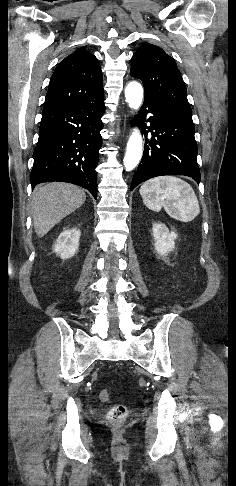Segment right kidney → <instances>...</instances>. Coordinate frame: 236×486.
<instances>
[{
    "label": "right kidney",
    "instance_id": "ca27d5eb",
    "mask_svg": "<svg viewBox=\"0 0 236 486\" xmlns=\"http://www.w3.org/2000/svg\"><path fill=\"white\" fill-rule=\"evenodd\" d=\"M81 232L79 229H66L56 240L53 251L61 257V259H69L73 257L79 247V239Z\"/></svg>",
    "mask_w": 236,
    "mask_h": 486
}]
</instances>
